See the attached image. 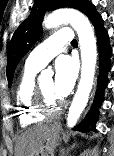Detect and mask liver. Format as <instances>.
I'll return each instance as SVG.
<instances>
[{"instance_id": "6515ba94", "label": "liver", "mask_w": 114, "mask_h": 156, "mask_svg": "<svg viewBox=\"0 0 114 156\" xmlns=\"http://www.w3.org/2000/svg\"><path fill=\"white\" fill-rule=\"evenodd\" d=\"M50 126L37 124L24 131L15 146V156H35L47 140Z\"/></svg>"}]
</instances>
